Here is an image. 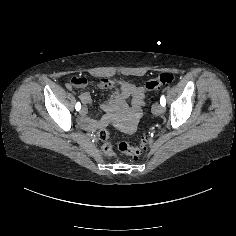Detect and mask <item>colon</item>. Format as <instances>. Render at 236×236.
Returning a JSON list of instances; mask_svg holds the SVG:
<instances>
[{
    "label": "colon",
    "mask_w": 236,
    "mask_h": 236,
    "mask_svg": "<svg viewBox=\"0 0 236 236\" xmlns=\"http://www.w3.org/2000/svg\"><path fill=\"white\" fill-rule=\"evenodd\" d=\"M174 74L171 72H162L154 79H151L146 82L145 89L146 91H157L160 89V87L164 85H168L174 81ZM99 82L107 83L108 80L106 79H100ZM71 84L75 87H84L88 84V80L80 75L73 76L71 78ZM99 139L102 141L103 145V151L108 157H113V145L111 141L109 140V133L106 129H101L98 132ZM149 143L148 136L144 135L141 137V140L138 145H131L128 142H120L118 144V149L122 153H125L130 156L137 157L141 155L147 148V145Z\"/></svg>",
    "instance_id": "5ec220e1"
}]
</instances>
